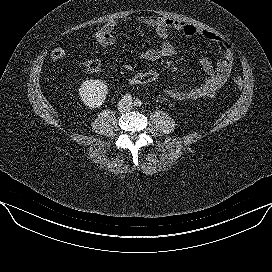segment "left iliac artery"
Returning a JSON list of instances; mask_svg holds the SVG:
<instances>
[{"label": "left iliac artery", "mask_w": 272, "mask_h": 272, "mask_svg": "<svg viewBox=\"0 0 272 272\" xmlns=\"http://www.w3.org/2000/svg\"><path fill=\"white\" fill-rule=\"evenodd\" d=\"M134 105H135L136 107H140V106L142 105V102H141L139 99H136V100L134 101Z\"/></svg>", "instance_id": "1"}]
</instances>
